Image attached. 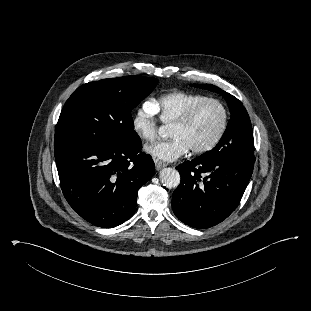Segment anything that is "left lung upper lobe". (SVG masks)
Masks as SVG:
<instances>
[{
  "mask_svg": "<svg viewBox=\"0 0 311 311\" xmlns=\"http://www.w3.org/2000/svg\"><path fill=\"white\" fill-rule=\"evenodd\" d=\"M193 86L222 94L231 112V118L219 143L202 156L221 157L233 153L254 154L253 130L249 115L243 104L233 95L214 85L193 84Z\"/></svg>",
  "mask_w": 311,
  "mask_h": 311,
  "instance_id": "1",
  "label": "left lung upper lobe"
}]
</instances>
